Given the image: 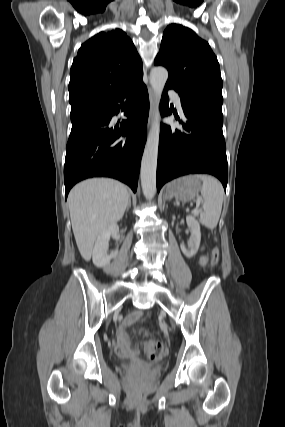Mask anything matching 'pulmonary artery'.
<instances>
[{
  "instance_id": "pulmonary-artery-1",
  "label": "pulmonary artery",
  "mask_w": 285,
  "mask_h": 427,
  "mask_svg": "<svg viewBox=\"0 0 285 427\" xmlns=\"http://www.w3.org/2000/svg\"><path fill=\"white\" fill-rule=\"evenodd\" d=\"M168 95H169V96L171 97V99L173 100V102H174V104H175V107H176L180 112H182L181 98H180L179 94H178L176 91H174V90L170 89V90H168Z\"/></svg>"
}]
</instances>
